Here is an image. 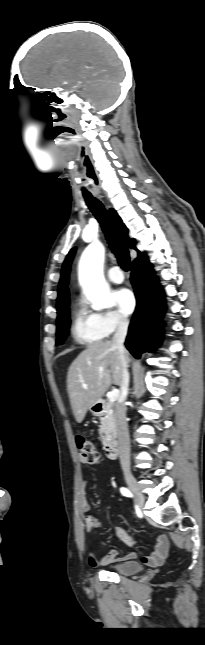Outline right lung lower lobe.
<instances>
[{
  "label": "right lung lower lobe",
  "instance_id": "right-lung-lower-lobe-1",
  "mask_svg": "<svg viewBox=\"0 0 205 645\" xmlns=\"http://www.w3.org/2000/svg\"><path fill=\"white\" fill-rule=\"evenodd\" d=\"M130 279L137 306L125 345L134 357L140 358L143 352H153L160 344L162 329L155 322L164 314L165 296L147 256L133 262Z\"/></svg>",
  "mask_w": 205,
  "mask_h": 645
}]
</instances>
